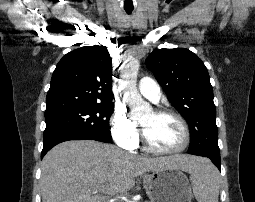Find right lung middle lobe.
<instances>
[{
	"label": "right lung middle lobe",
	"mask_w": 255,
	"mask_h": 202,
	"mask_svg": "<svg viewBox=\"0 0 255 202\" xmlns=\"http://www.w3.org/2000/svg\"><path fill=\"white\" fill-rule=\"evenodd\" d=\"M114 103L86 104L46 113L44 136L56 132H78L97 141L111 142L109 118Z\"/></svg>",
	"instance_id": "right-lung-middle-lobe-1"
}]
</instances>
